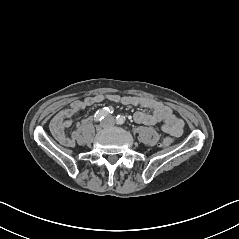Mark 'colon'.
Returning a JSON list of instances; mask_svg holds the SVG:
<instances>
[{"label": "colon", "mask_w": 239, "mask_h": 239, "mask_svg": "<svg viewBox=\"0 0 239 239\" xmlns=\"http://www.w3.org/2000/svg\"><path fill=\"white\" fill-rule=\"evenodd\" d=\"M171 143H172V138L166 137V138H164V139L162 140L161 146H163V147H168V146L171 145Z\"/></svg>", "instance_id": "obj_1"}]
</instances>
